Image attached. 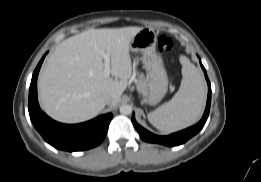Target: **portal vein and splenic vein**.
Wrapping results in <instances>:
<instances>
[{"instance_id": "portal-vein-and-splenic-vein-1", "label": "portal vein and splenic vein", "mask_w": 261, "mask_h": 182, "mask_svg": "<svg viewBox=\"0 0 261 182\" xmlns=\"http://www.w3.org/2000/svg\"><path fill=\"white\" fill-rule=\"evenodd\" d=\"M104 59V75L106 77L110 76V55L108 53H104L103 55Z\"/></svg>"}]
</instances>
